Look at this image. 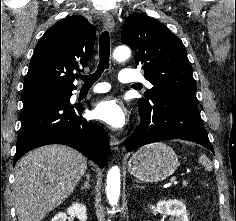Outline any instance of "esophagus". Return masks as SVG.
<instances>
[{"mask_svg":"<svg viewBox=\"0 0 236 221\" xmlns=\"http://www.w3.org/2000/svg\"><path fill=\"white\" fill-rule=\"evenodd\" d=\"M103 24L107 30L113 31L115 22L112 15H110L109 13H106L103 18ZM119 144H120V141L114 135H111L110 136L111 149L114 151L118 150Z\"/></svg>","mask_w":236,"mask_h":221,"instance_id":"esophagus-1","label":"esophagus"}]
</instances>
